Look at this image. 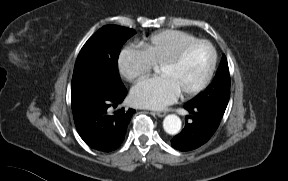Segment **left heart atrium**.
Returning <instances> with one entry per match:
<instances>
[{"label": "left heart atrium", "mask_w": 288, "mask_h": 181, "mask_svg": "<svg viewBox=\"0 0 288 181\" xmlns=\"http://www.w3.org/2000/svg\"><path fill=\"white\" fill-rule=\"evenodd\" d=\"M179 90L165 76L145 79L135 85L131 98L135 105L149 109H162L174 102L179 96Z\"/></svg>", "instance_id": "obj_1"}]
</instances>
